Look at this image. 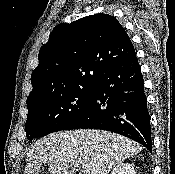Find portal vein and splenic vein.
<instances>
[{"label": "portal vein and splenic vein", "instance_id": "1", "mask_svg": "<svg viewBox=\"0 0 175 174\" xmlns=\"http://www.w3.org/2000/svg\"><path fill=\"white\" fill-rule=\"evenodd\" d=\"M82 168H83L84 170H87V169H89V166H88L87 164H82Z\"/></svg>", "mask_w": 175, "mask_h": 174}]
</instances>
